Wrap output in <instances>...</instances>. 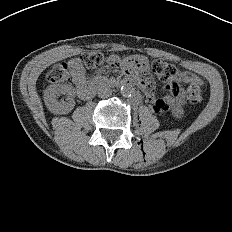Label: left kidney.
<instances>
[{
  "label": "left kidney",
  "instance_id": "obj_1",
  "mask_svg": "<svg viewBox=\"0 0 232 232\" xmlns=\"http://www.w3.org/2000/svg\"><path fill=\"white\" fill-rule=\"evenodd\" d=\"M172 114L176 117V118H181L184 115V110L181 106H176L173 110H172Z\"/></svg>",
  "mask_w": 232,
  "mask_h": 232
}]
</instances>
